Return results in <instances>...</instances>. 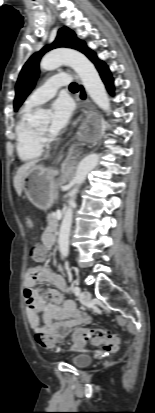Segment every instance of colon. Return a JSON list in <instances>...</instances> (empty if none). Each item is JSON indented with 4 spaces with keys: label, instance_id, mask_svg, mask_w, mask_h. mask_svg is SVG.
<instances>
[{
    "label": "colon",
    "instance_id": "colon-1",
    "mask_svg": "<svg viewBox=\"0 0 155 413\" xmlns=\"http://www.w3.org/2000/svg\"><path fill=\"white\" fill-rule=\"evenodd\" d=\"M30 257L37 263H42L46 260L45 249L41 245H35L31 248ZM41 346L47 349H55V342L40 338L37 341ZM86 344L98 346L101 351L110 353L116 352L119 348V338L117 335L106 332L97 328L78 329L73 336V349H79Z\"/></svg>",
    "mask_w": 155,
    "mask_h": 413
}]
</instances>
